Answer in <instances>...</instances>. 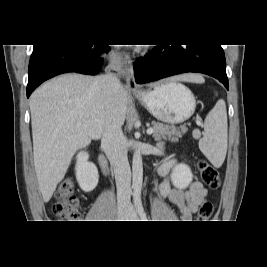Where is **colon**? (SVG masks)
Returning <instances> with one entry per match:
<instances>
[{"label": "colon", "instance_id": "obj_1", "mask_svg": "<svg viewBox=\"0 0 267 267\" xmlns=\"http://www.w3.org/2000/svg\"><path fill=\"white\" fill-rule=\"evenodd\" d=\"M197 166L202 181L211 189H217L221 182L217 169L203 160L198 161ZM52 211L56 217L67 222L78 220L81 217L80 202L74 195L71 181L65 180L59 185ZM213 211L214 207L211 202H203L199 207L197 220L207 222L213 215Z\"/></svg>", "mask_w": 267, "mask_h": 267}]
</instances>
